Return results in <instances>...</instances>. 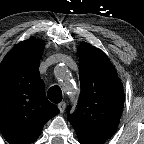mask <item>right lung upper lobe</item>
<instances>
[{"instance_id": "right-lung-upper-lobe-1", "label": "right lung upper lobe", "mask_w": 144, "mask_h": 144, "mask_svg": "<svg viewBox=\"0 0 144 144\" xmlns=\"http://www.w3.org/2000/svg\"><path fill=\"white\" fill-rule=\"evenodd\" d=\"M44 41L18 43L0 64V132L10 144H31L44 124L59 113L45 96L39 62Z\"/></svg>"}]
</instances>
